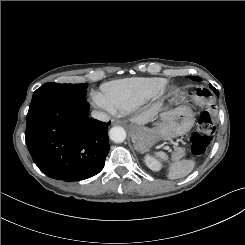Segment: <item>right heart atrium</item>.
Returning a JSON list of instances; mask_svg holds the SVG:
<instances>
[{
	"label": "right heart atrium",
	"instance_id": "obj_1",
	"mask_svg": "<svg viewBox=\"0 0 245 245\" xmlns=\"http://www.w3.org/2000/svg\"><path fill=\"white\" fill-rule=\"evenodd\" d=\"M92 104L107 113L113 114L115 112L112 105L100 93H94L92 96Z\"/></svg>",
	"mask_w": 245,
	"mask_h": 245
}]
</instances>
